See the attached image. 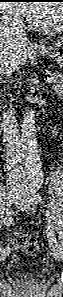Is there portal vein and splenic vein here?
Masks as SVG:
<instances>
[{"label": "portal vein and splenic vein", "mask_w": 63, "mask_h": 297, "mask_svg": "<svg viewBox=\"0 0 63 297\" xmlns=\"http://www.w3.org/2000/svg\"><path fill=\"white\" fill-rule=\"evenodd\" d=\"M46 82L49 83V84L53 83V82H55V78L53 76L47 77Z\"/></svg>", "instance_id": "1"}]
</instances>
